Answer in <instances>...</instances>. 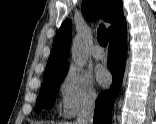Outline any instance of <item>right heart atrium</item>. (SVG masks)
Returning <instances> with one entry per match:
<instances>
[{
  "mask_svg": "<svg viewBox=\"0 0 156 124\" xmlns=\"http://www.w3.org/2000/svg\"><path fill=\"white\" fill-rule=\"evenodd\" d=\"M59 93L61 109L67 117L92 108L97 100V92L92 79L74 68L64 74L60 82Z\"/></svg>",
  "mask_w": 156,
  "mask_h": 124,
  "instance_id": "right-heart-atrium-1",
  "label": "right heart atrium"
}]
</instances>
